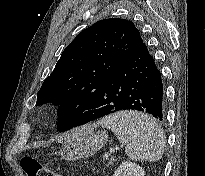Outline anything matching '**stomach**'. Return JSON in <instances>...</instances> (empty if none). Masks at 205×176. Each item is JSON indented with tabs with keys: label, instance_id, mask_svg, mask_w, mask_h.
I'll return each mask as SVG.
<instances>
[{
	"label": "stomach",
	"instance_id": "1",
	"mask_svg": "<svg viewBox=\"0 0 205 176\" xmlns=\"http://www.w3.org/2000/svg\"><path fill=\"white\" fill-rule=\"evenodd\" d=\"M85 128L78 136L65 142L60 150L62 159L76 160L90 157L106 144L108 139L106 132L95 131V124Z\"/></svg>",
	"mask_w": 205,
	"mask_h": 176
}]
</instances>
